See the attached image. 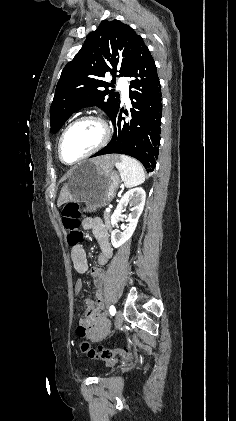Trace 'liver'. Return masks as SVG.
Segmentation results:
<instances>
[{
	"mask_svg": "<svg viewBox=\"0 0 236 421\" xmlns=\"http://www.w3.org/2000/svg\"><path fill=\"white\" fill-rule=\"evenodd\" d=\"M118 158V154H104V156H95V158H92V160L93 162H96V164H100V166H114ZM68 186V182L63 184L60 190L59 198L57 200V206H61V204H64V202L73 200L70 188H68Z\"/></svg>",
	"mask_w": 236,
	"mask_h": 421,
	"instance_id": "1",
	"label": "liver"
}]
</instances>
